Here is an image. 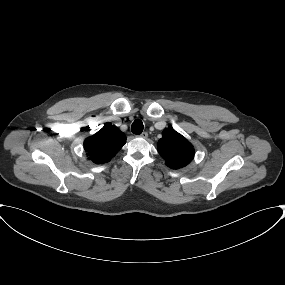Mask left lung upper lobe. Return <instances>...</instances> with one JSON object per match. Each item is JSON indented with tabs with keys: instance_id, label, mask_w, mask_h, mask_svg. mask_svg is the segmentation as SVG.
<instances>
[{
	"instance_id": "left-lung-upper-lobe-1",
	"label": "left lung upper lobe",
	"mask_w": 285,
	"mask_h": 285,
	"mask_svg": "<svg viewBox=\"0 0 285 285\" xmlns=\"http://www.w3.org/2000/svg\"><path fill=\"white\" fill-rule=\"evenodd\" d=\"M157 150L165 160V164L172 169L185 167L195 154L191 143L172 128H166L162 132Z\"/></svg>"
}]
</instances>
